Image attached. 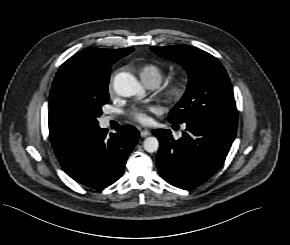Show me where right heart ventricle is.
I'll return each mask as SVG.
<instances>
[{
	"instance_id": "obj_1",
	"label": "right heart ventricle",
	"mask_w": 290,
	"mask_h": 245,
	"mask_svg": "<svg viewBox=\"0 0 290 245\" xmlns=\"http://www.w3.org/2000/svg\"><path fill=\"white\" fill-rule=\"evenodd\" d=\"M139 74L144 83L154 79L161 82L164 76L162 69L155 64H145L141 66Z\"/></svg>"
}]
</instances>
